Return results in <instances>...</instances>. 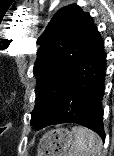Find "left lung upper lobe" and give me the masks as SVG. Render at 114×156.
<instances>
[{"mask_svg": "<svg viewBox=\"0 0 114 156\" xmlns=\"http://www.w3.org/2000/svg\"><path fill=\"white\" fill-rule=\"evenodd\" d=\"M92 17L76 4L60 9L38 38L41 49L34 65L36 105L31 124L44 127L59 110L67 83L91 37Z\"/></svg>", "mask_w": 114, "mask_h": 156, "instance_id": "1", "label": "left lung upper lobe"}]
</instances>
